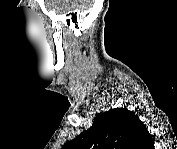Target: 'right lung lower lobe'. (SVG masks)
<instances>
[{
	"mask_svg": "<svg viewBox=\"0 0 177 149\" xmlns=\"http://www.w3.org/2000/svg\"><path fill=\"white\" fill-rule=\"evenodd\" d=\"M149 146H150L151 148L154 147V140H153L152 144H150Z\"/></svg>",
	"mask_w": 177,
	"mask_h": 149,
	"instance_id": "right-lung-lower-lobe-1",
	"label": "right lung lower lobe"
}]
</instances>
